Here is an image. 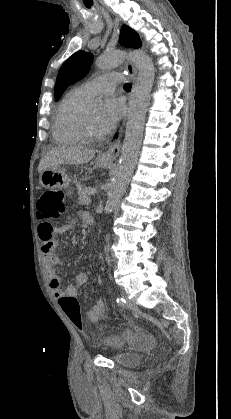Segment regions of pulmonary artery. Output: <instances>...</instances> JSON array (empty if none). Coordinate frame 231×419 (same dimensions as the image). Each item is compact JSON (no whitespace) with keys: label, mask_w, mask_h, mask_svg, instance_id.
<instances>
[{"label":"pulmonary artery","mask_w":231,"mask_h":419,"mask_svg":"<svg viewBox=\"0 0 231 419\" xmlns=\"http://www.w3.org/2000/svg\"><path fill=\"white\" fill-rule=\"evenodd\" d=\"M124 79V75L119 73H106L95 79L88 81L78 87L87 97H93L102 93L114 91L116 86Z\"/></svg>","instance_id":"e3ab8cb5"}]
</instances>
